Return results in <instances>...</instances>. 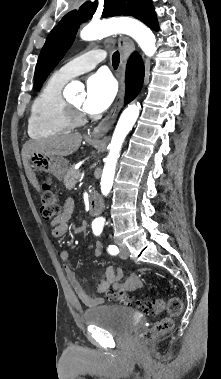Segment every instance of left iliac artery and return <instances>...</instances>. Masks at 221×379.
<instances>
[{
	"instance_id": "1",
	"label": "left iliac artery",
	"mask_w": 221,
	"mask_h": 379,
	"mask_svg": "<svg viewBox=\"0 0 221 379\" xmlns=\"http://www.w3.org/2000/svg\"><path fill=\"white\" fill-rule=\"evenodd\" d=\"M93 232L96 236L100 235L102 232V227H93ZM107 251L111 255H117L119 253V249L115 245H109Z\"/></svg>"
}]
</instances>
